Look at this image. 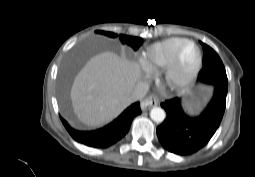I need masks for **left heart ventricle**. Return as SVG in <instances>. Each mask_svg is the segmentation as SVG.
Listing matches in <instances>:
<instances>
[{
	"label": "left heart ventricle",
	"mask_w": 255,
	"mask_h": 177,
	"mask_svg": "<svg viewBox=\"0 0 255 177\" xmlns=\"http://www.w3.org/2000/svg\"><path fill=\"white\" fill-rule=\"evenodd\" d=\"M196 52L192 46H187L182 54L180 64L177 70V77L179 79L186 76L195 60Z\"/></svg>",
	"instance_id": "1"
}]
</instances>
